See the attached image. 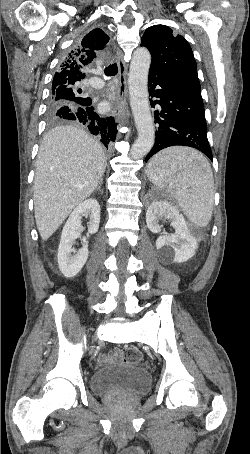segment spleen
<instances>
[{
	"label": "spleen",
	"mask_w": 250,
	"mask_h": 454,
	"mask_svg": "<svg viewBox=\"0 0 250 454\" xmlns=\"http://www.w3.org/2000/svg\"><path fill=\"white\" fill-rule=\"evenodd\" d=\"M147 176L172 194L189 221L206 227L212 217L214 178L207 159L189 147H170L148 163Z\"/></svg>",
	"instance_id": "spleen-1"
}]
</instances>
